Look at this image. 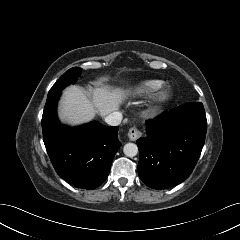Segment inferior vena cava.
Listing matches in <instances>:
<instances>
[{
	"mask_svg": "<svg viewBox=\"0 0 240 240\" xmlns=\"http://www.w3.org/2000/svg\"><path fill=\"white\" fill-rule=\"evenodd\" d=\"M122 121V113L120 112H112L108 116L105 117V122L111 126H117Z\"/></svg>",
	"mask_w": 240,
	"mask_h": 240,
	"instance_id": "1",
	"label": "inferior vena cava"
}]
</instances>
